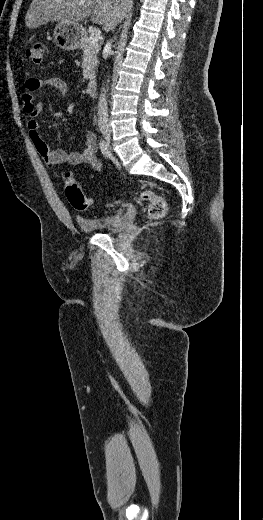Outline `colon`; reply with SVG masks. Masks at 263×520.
Masks as SVG:
<instances>
[{
	"instance_id": "colon-1",
	"label": "colon",
	"mask_w": 263,
	"mask_h": 520,
	"mask_svg": "<svg viewBox=\"0 0 263 520\" xmlns=\"http://www.w3.org/2000/svg\"><path fill=\"white\" fill-rule=\"evenodd\" d=\"M44 45L40 41L34 42L25 51L26 56L35 63H41L43 59ZM65 195L70 205L78 211L88 210L93 200L87 197L71 173L63 177ZM140 199L147 205V215L151 219H161L166 215V202L153 189L141 193Z\"/></svg>"
}]
</instances>
